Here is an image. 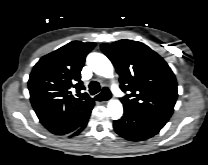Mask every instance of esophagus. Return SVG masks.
<instances>
[{
	"mask_svg": "<svg viewBox=\"0 0 208 165\" xmlns=\"http://www.w3.org/2000/svg\"><path fill=\"white\" fill-rule=\"evenodd\" d=\"M109 100H110V98L106 101H98V103H107V102H109Z\"/></svg>",
	"mask_w": 208,
	"mask_h": 165,
	"instance_id": "obj_1",
	"label": "esophagus"
}]
</instances>
